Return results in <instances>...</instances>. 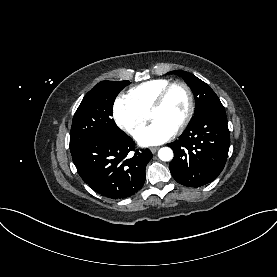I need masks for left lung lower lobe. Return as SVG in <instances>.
<instances>
[{"mask_svg": "<svg viewBox=\"0 0 277 277\" xmlns=\"http://www.w3.org/2000/svg\"><path fill=\"white\" fill-rule=\"evenodd\" d=\"M168 146L174 151L169 169L178 183L200 187L212 182L223 170L230 146L223 105H215L192 120L179 139Z\"/></svg>", "mask_w": 277, "mask_h": 277, "instance_id": "left-lung-lower-lobe-1", "label": "left lung lower lobe"}]
</instances>
